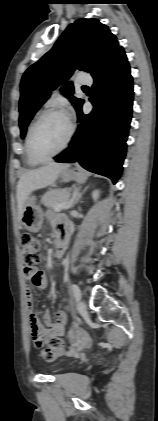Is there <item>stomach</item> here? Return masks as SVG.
I'll return each instance as SVG.
<instances>
[{"label": "stomach", "instance_id": "1", "mask_svg": "<svg viewBox=\"0 0 158 421\" xmlns=\"http://www.w3.org/2000/svg\"><path fill=\"white\" fill-rule=\"evenodd\" d=\"M60 178L64 182H69L72 180L75 181H85L87 178L86 173L81 168H65L60 174ZM21 221L23 226L30 232H38L43 224V212L39 205L36 203V198L34 196H29L25 202Z\"/></svg>", "mask_w": 158, "mask_h": 421}]
</instances>
